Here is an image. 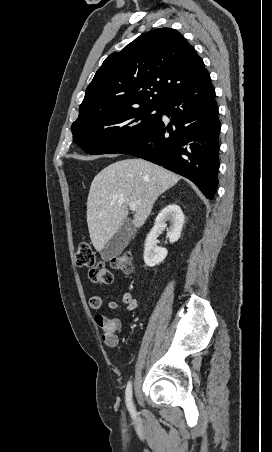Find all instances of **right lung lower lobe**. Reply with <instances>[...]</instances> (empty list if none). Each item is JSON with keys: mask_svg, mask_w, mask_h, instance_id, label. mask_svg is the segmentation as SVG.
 <instances>
[{"mask_svg": "<svg viewBox=\"0 0 272 452\" xmlns=\"http://www.w3.org/2000/svg\"><path fill=\"white\" fill-rule=\"evenodd\" d=\"M170 117V123L162 120ZM220 122L210 78L161 106L159 120L118 153L143 158L190 179L210 200L218 185Z\"/></svg>", "mask_w": 272, "mask_h": 452, "instance_id": "98d812e1", "label": "right lung lower lobe"}]
</instances>
